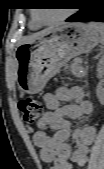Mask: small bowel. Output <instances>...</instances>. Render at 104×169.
<instances>
[{"instance_id": "c3829d8e", "label": "small bowel", "mask_w": 104, "mask_h": 169, "mask_svg": "<svg viewBox=\"0 0 104 169\" xmlns=\"http://www.w3.org/2000/svg\"><path fill=\"white\" fill-rule=\"evenodd\" d=\"M47 111L38 122L39 130L33 135L34 144L40 149L43 161L51 169H71V164L84 166L87 162L88 146L96 137V128L84 124L93 114L91 102L85 99L80 87H60L43 96ZM70 120L83 125L72 130ZM54 131L49 135L47 130ZM76 144L72 149L68 140Z\"/></svg>"}]
</instances>
